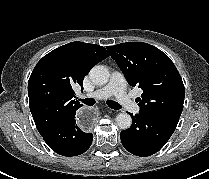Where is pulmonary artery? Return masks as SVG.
I'll use <instances>...</instances> for the list:
<instances>
[{
	"instance_id": "pulmonary-artery-1",
	"label": "pulmonary artery",
	"mask_w": 209,
	"mask_h": 179,
	"mask_svg": "<svg viewBox=\"0 0 209 179\" xmlns=\"http://www.w3.org/2000/svg\"><path fill=\"white\" fill-rule=\"evenodd\" d=\"M114 96L117 102L127 111L138 113L140 107L129 97L125 88V79L121 72L114 71L109 82L102 88L87 94L86 97L94 99H106Z\"/></svg>"
}]
</instances>
